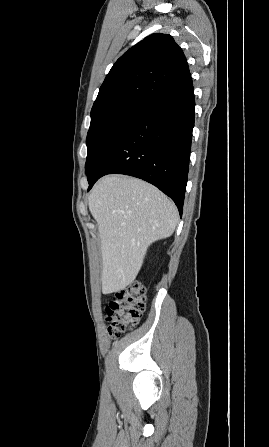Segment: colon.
Wrapping results in <instances>:
<instances>
[{"mask_svg":"<svg viewBox=\"0 0 269 447\" xmlns=\"http://www.w3.org/2000/svg\"><path fill=\"white\" fill-rule=\"evenodd\" d=\"M146 290L140 282H134L113 293V300L105 309L109 320L108 332L112 338L122 336L140 323L145 310Z\"/></svg>","mask_w":269,"mask_h":447,"instance_id":"1","label":"colon"}]
</instances>
